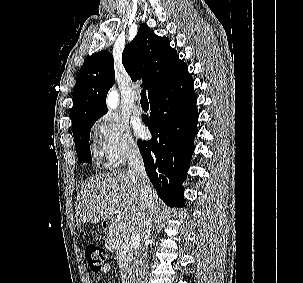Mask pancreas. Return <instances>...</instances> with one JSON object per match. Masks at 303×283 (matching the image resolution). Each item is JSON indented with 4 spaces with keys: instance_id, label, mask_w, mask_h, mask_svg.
<instances>
[{
    "instance_id": "cf45deb5",
    "label": "pancreas",
    "mask_w": 303,
    "mask_h": 283,
    "mask_svg": "<svg viewBox=\"0 0 303 283\" xmlns=\"http://www.w3.org/2000/svg\"><path fill=\"white\" fill-rule=\"evenodd\" d=\"M132 230L129 226L117 223L109 232V239L114 244L118 264L122 268H127L133 257V246L131 244Z\"/></svg>"
}]
</instances>
